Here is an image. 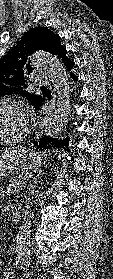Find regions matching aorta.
<instances>
[{
	"label": "aorta",
	"mask_w": 113,
	"mask_h": 279,
	"mask_svg": "<svg viewBox=\"0 0 113 279\" xmlns=\"http://www.w3.org/2000/svg\"><path fill=\"white\" fill-rule=\"evenodd\" d=\"M32 66L45 72L57 91V104L54 112L44 120V135L57 138L68 122L70 113V86L62 63L50 53L36 51L31 56ZM33 214H27L16 238V266L27 268L30 265V239Z\"/></svg>",
	"instance_id": "1"
}]
</instances>
